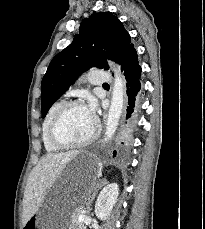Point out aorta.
Wrapping results in <instances>:
<instances>
[{"label": "aorta", "mask_w": 205, "mask_h": 229, "mask_svg": "<svg viewBox=\"0 0 205 229\" xmlns=\"http://www.w3.org/2000/svg\"><path fill=\"white\" fill-rule=\"evenodd\" d=\"M109 65L112 67L114 72V85L112 90L111 104L106 122L104 139L106 143L113 138L117 130L123 109L124 92L126 89V83L121 74L120 68L116 66L113 62H109Z\"/></svg>", "instance_id": "obj_1"}]
</instances>
